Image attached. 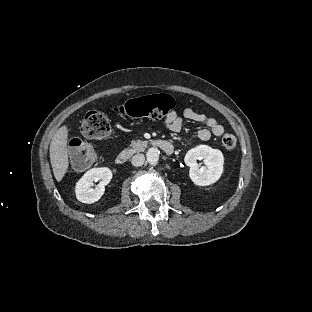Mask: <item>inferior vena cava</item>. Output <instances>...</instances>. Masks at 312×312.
I'll return each mask as SVG.
<instances>
[{
  "label": "inferior vena cava",
  "instance_id": "602c4592",
  "mask_svg": "<svg viewBox=\"0 0 312 312\" xmlns=\"http://www.w3.org/2000/svg\"><path fill=\"white\" fill-rule=\"evenodd\" d=\"M145 156L143 154H137L132 157L131 163L133 166L139 167L144 164Z\"/></svg>",
  "mask_w": 312,
  "mask_h": 312
}]
</instances>
